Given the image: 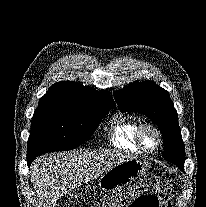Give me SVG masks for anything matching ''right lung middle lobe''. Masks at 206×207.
<instances>
[{
    "instance_id": "obj_1",
    "label": "right lung middle lobe",
    "mask_w": 206,
    "mask_h": 207,
    "mask_svg": "<svg viewBox=\"0 0 206 207\" xmlns=\"http://www.w3.org/2000/svg\"><path fill=\"white\" fill-rule=\"evenodd\" d=\"M110 109L39 104L31 121L27 156L78 147L91 137Z\"/></svg>"
}]
</instances>
